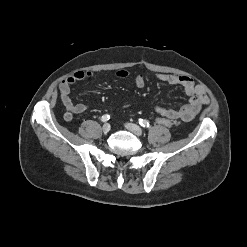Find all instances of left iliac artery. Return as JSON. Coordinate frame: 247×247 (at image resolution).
<instances>
[{
  "label": "left iliac artery",
  "instance_id": "1",
  "mask_svg": "<svg viewBox=\"0 0 247 247\" xmlns=\"http://www.w3.org/2000/svg\"><path fill=\"white\" fill-rule=\"evenodd\" d=\"M138 123H139L142 127H144V128H149V127H150V124H149V122H148L147 120L139 119V120H138Z\"/></svg>",
  "mask_w": 247,
  "mask_h": 247
}]
</instances>
